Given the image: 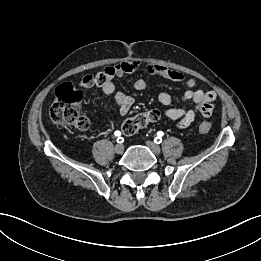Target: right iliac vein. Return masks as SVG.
<instances>
[{
  "label": "right iliac vein",
  "mask_w": 261,
  "mask_h": 261,
  "mask_svg": "<svg viewBox=\"0 0 261 261\" xmlns=\"http://www.w3.org/2000/svg\"><path fill=\"white\" fill-rule=\"evenodd\" d=\"M114 150L117 154H121L124 151V146L122 144H117L115 145Z\"/></svg>",
  "instance_id": "1"
}]
</instances>
